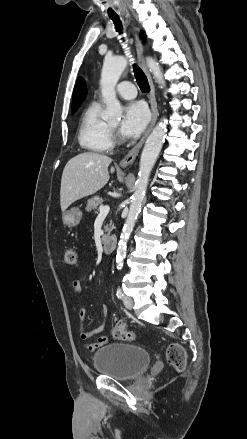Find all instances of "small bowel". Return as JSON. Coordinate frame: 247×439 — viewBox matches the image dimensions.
I'll list each match as a JSON object with an SVG mask.
<instances>
[{"label": "small bowel", "mask_w": 247, "mask_h": 439, "mask_svg": "<svg viewBox=\"0 0 247 439\" xmlns=\"http://www.w3.org/2000/svg\"><path fill=\"white\" fill-rule=\"evenodd\" d=\"M71 293L73 295H78V296L82 295L83 288H82V284L79 280H73V282L71 284ZM107 313H108V307L106 305H104L102 307L103 321L101 322V324L99 326H97L93 330L87 331L86 325H85L86 308L83 305L79 307V309H78V316L80 319L79 334H80L81 339L84 341V347L88 351H95L96 349L108 344L109 340L106 336H99L96 339V341H94V342L88 341L90 338L95 337V336L99 335L100 333H102V331L105 328V320H106Z\"/></svg>", "instance_id": "1"}]
</instances>
